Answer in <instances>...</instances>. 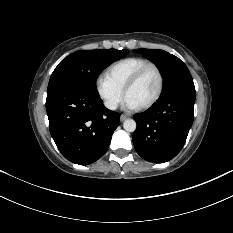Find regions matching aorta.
I'll use <instances>...</instances> for the list:
<instances>
[{"label":"aorta","mask_w":233,"mask_h":233,"mask_svg":"<svg viewBox=\"0 0 233 233\" xmlns=\"http://www.w3.org/2000/svg\"><path fill=\"white\" fill-rule=\"evenodd\" d=\"M123 127L127 132H134L136 130L137 124L133 119H127L123 123Z\"/></svg>","instance_id":"1"}]
</instances>
